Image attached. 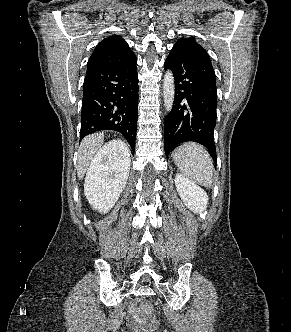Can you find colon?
Wrapping results in <instances>:
<instances>
[{
	"instance_id": "colon-1",
	"label": "colon",
	"mask_w": 291,
	"mask_h": 332,
	"mask_svg": "<svg viewBox=\"0 0 291 332\" xmlns=\"http://www.w3.org/2000/svg\"><path fill=\"white\" fill-rule=\"evenodd\" d=\"M141 310L145 314H153L154 312L153 306L150 302H143L141 304Z\"/></svg>"
}]
</instances>
